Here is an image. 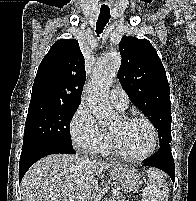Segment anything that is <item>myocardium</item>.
<instances>
[{
	"instance_id": "f54148a6",
	"label": "myocardium",
	"mask_w": 196,
	"mask_h": 201,
	"mask_svg": "<svg viewBox=\"0 0 196 201\" xmlns=\"http://www.w3.org/2000/svg\"><path fill=\"white\" fill-rule=\"evenodd\" d=\"M121 120L124 122H132V121L144 122L149 127V129L151 131L152 142H151L150 148L145 153H143L139 156H134V155H131V154H128L127 152H125L121 148V146L118 143L115 136L110 132L109 135H110V139H111L112 146H113L115 153L119 157H121L122 159L127 160V161H131V162H141V161H144V160L148 159L149 157H151L154 154V152L156 151V148L158 145V133H157L156 127L150 121V119H148L147 117H145L143 115L133 114V115L122 116Z\"/></svg>"
}]
</instances>
